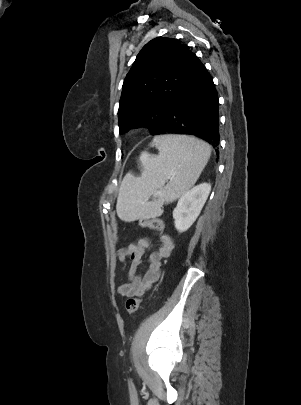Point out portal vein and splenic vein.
I'll list each match as a JSON object with an SVG mask.
<instances>
[{"label":"portal vein and splenic vein","mask_w":301,"mask_h":405,"mask_svg":"<svg viewBox=\"0 0 301 405\" xmlns=\"http://www.w3.org/2000/svg\"><path fill=\"white\" fill-rule=\"evenodd\" d=\"M160 195V193H156V196Z\"/></svg>","instance_id":"obj_1"}]
</instances>
